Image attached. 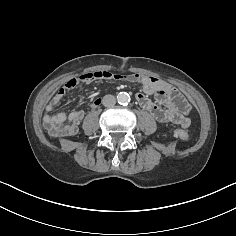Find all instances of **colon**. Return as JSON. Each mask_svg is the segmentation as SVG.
Returning a JSON list of instances; mask_svg holds the SVG:
<instances>
[{
    "label": "colon",
    "instance_id": "obj_1",
    "mask_svg": "<svg viewBox=\"0 0 236 236\" xmlns=\"http://www.w3.org/2000/svg\"><path fill=\"white\" fill-rule=\"evenodd\" d=\"M96 75L99 76V77H102V78H110L112 76V73H110L108 71H102V72H98ZM130 75H128V77L131 79L132 77ZM177 135L182 140H185V141L190 139V135L187 132L182 131V130L177 131Z\"/></svg>",
    "mask_w": 236,
    "mask_h": 236
}]
</instances>
